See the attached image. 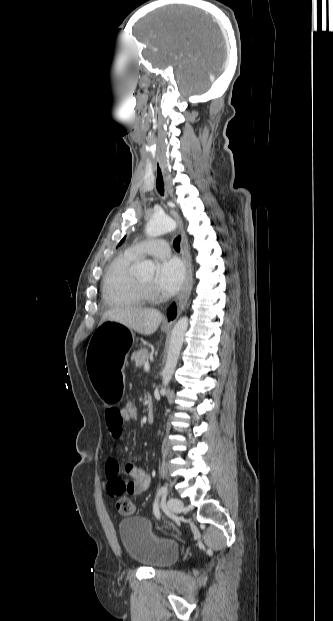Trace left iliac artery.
Listing matches in <instances>:
<instances>
[{
    "instance_id": "44dca946",
    "label": "left iliac artery",
    "mask_w": 333,
    "mask_h": 621,
    "mask_svg": "<svg viewBox=\"0 0 333 621\" xmlns=\"http://www.w3.org/2000/svg\"><path fill=\"white\" fill-rule=\"evenodd\" d=\"M167 492H168V490H167L166 486L160 487L158 489V491H157L156 499H155V502L153 504V511H154V514H155L157 519L160 518V512H159V506H158V497H160L161 495H166Z\"/></svg>"
}]
</instances>
